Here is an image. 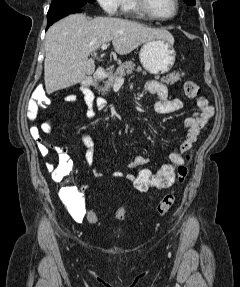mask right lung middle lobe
<instances>
[{
    "instance_id": "1",
    "label": "right lung middle lobe",
    "mask_w": 240,
    "mask_h": 287,
    "mask_svg": "<svg viewBox=\"0 0 240 287\" xmlns=\"http://www.w3.org/2000/svg\"><path fill=\"white\" fill-rule=\"evenodd\" d=\"M95 0H52L47 18L59 13L76 8H82L86 3H93Z\"/></svg>"
}]
</instances>
